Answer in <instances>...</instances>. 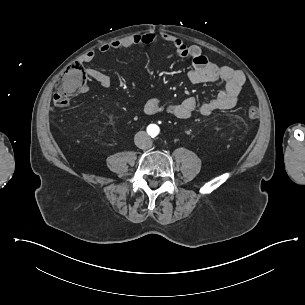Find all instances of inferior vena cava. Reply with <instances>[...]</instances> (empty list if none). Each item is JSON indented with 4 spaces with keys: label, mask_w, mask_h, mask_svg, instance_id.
<instances>
[{
    "label": "inferior vena cava",
    "mask_w": 305,
    "mask_h": 305,
    "mask_svg": "<svg viewBox=\"0 0 305 305\" xmlns=\"http://www.w3.org/2000/svg\"><path fill=\"white\" fill-rule=\"evenodd\" d=\"M135 145L140 149H148L152 146V140L145 131H139L134 137Z\"/></svg>",
    "instance_id": "602c4592"
}]
</instances>
